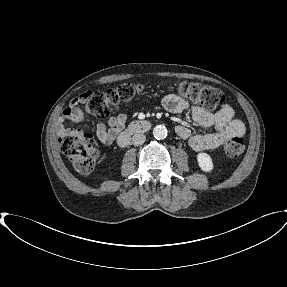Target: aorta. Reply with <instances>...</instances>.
I'll use <instances>...</instances> for the list:
<instances>
[{
    "label": "aorta",
    "mask_w": 287,
    "mask_h": 287,
    "mask_svg": "<svg viewBox=\"0 0 287 287\" xmlns=\"http://www.w3.org/2000/svg\"><path fill=\"white\" fill-rule=\"evenodd\" d=\"M167 134H168V131L165 126L158 125L153 129V136L156 139H159V140L164 139L166 138Z\"/></svg>",
    "instance_id": "aorta-1"
}]
</instances>
